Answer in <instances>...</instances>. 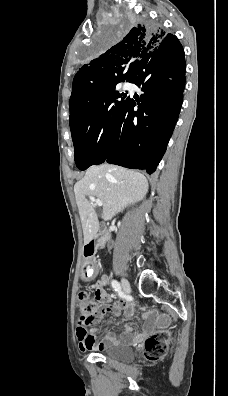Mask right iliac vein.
Masks as SVG:
<instances>
[{
    "mask_svg": "<svg viewBox=\"0 0 228 396\" xmlns=\"http://www.w3.org/2000/svg\"><path fill=\"white\" fill-rule=\"evenodd\" d=\"M121 286H122L123 291H124L125 293H130V291H131L130 283L128 282L127 279H125V278H122V279H121Z\"/></svg>",
    "mask_w": 228,
    "mask_h": 396,
    "instance_id": "obj_1",
    "label": "right iliac vein"
}]
</instances>
